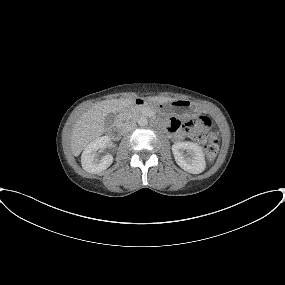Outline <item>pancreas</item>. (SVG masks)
I'll return each instance as SVG.
<instances>
[{
    "mask_svg": "<svg viewBox=\"0 0 285 285\" xmlns=\"http://www.w3.org/2000/svg\"><path fill=\"white\" fill-rule=\"evenodd\" d=\"M147 110L139 107H129L121 113V121L137 118L140 114H144Z\"/></svg>",
    "mask_w": 285,
    "mask_h": 285,
    "instance_id": "pancreas-1",
    "label": "pancreas"
}]
</instances>
